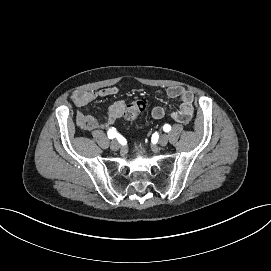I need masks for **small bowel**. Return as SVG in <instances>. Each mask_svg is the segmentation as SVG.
I'll list each match as a JSON object with an SVG mask.
<instances>
[{
    "label": "small bowel",
    "mask_w": 271,
    "mask_h": 271,
    "mask_svg": "<svg viewBox=\"0 0 271 271\" xmlns=\"http://www.w3.org/2000/svg\"><path fill=\"white\" fill-rule=\"evenodd\" d=\"M120 90L121 89L116 86L96 91L76 90L72 93L71 99L76 107L82 109L99 98L117 95ZM165 93L170 98L180 100L178 109L170 111L160 106H156L151 111L152 117L155 119L170 117L180 123L189 122L194 113L193 93L182 86H171L166 89ZM125 107L126 103L124 101H116L108 107L107 113L101 118L86 115L82 111H78L76 114V123L78 127L84 131H99L100 129L107 128L114 124V122L122 116Z\"/></svg>",
    "instance_id": "1"
}]
</instances>
